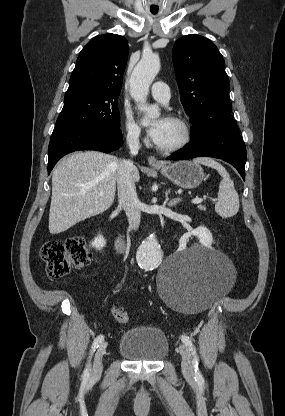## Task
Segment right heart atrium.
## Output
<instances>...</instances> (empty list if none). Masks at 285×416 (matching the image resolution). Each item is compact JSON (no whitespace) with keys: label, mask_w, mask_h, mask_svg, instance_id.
Returning <instances> with one entry per match:
<instances>
[{"label":"right heart atrium","mask_w":285,"mask_h":416,"mask_svg":"<svg viewBox=\"0 0 285 416\" xmlns=\"http://www.w3.org/2000/svg\"><path fill=\"white\" fill-rule=\"evenodd\" d=\"M127 137L131 143H139L142 139V131L138 124L129 116L126 119Z\"/></svg>","instance_id":"obj_1"}]
</instances>
